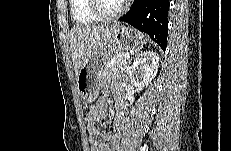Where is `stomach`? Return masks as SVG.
<instances>
[{
    "mask_svg": "<svg viewBox=\"0 0 231 151\" xmlns=\"http://www.w3.org/2000/svg\"><path fill=\"white\" fill-rule=\"evenodd\" d=\"M145 42L144 36L128 26L118 25L108 46L94 53L81 66L77 79V91L85 103H93L99 94L101 71L112 56L121 51H137Z\"/></svg>",
    "mask_w": 231,
    "mask_h": 151,
    "instance_id": "1",
    "label": "stomach"
}]
</instances>
